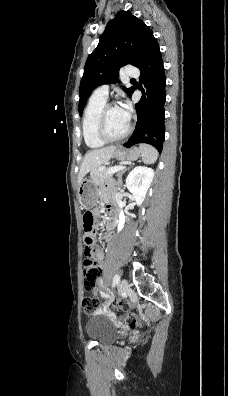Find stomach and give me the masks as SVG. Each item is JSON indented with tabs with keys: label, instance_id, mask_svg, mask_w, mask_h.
<instances>
[{
	"label": "stomach",
	"instance_id": "obj_1",
	"mask_svg": "<svg viewBox=\"0 0 228 396\" xmlns=\"http://www.w3.org/2000/svg\"><path fill=\"white\" fill-rule=\"evenodd\" d=\"M140 153L141 152L137 147H133L128 150L118 148L114 151L113 157L118 160H135L139 158ZM77 196L83 209H92L98 201L97 185L92 181V179L87 177L83 178L78 185Z\"/></svg>",
	"mask_w": 228,
	"mask_h": 396
}]
</instances>
